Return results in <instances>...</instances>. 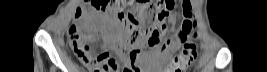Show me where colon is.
Listing matches in <instances>:
<instances>
[{
	"instance_id": "colon-1",
	"label": "colon",
	"mask_w": 267,
	"mask_h": 72,
	"mask_svg": "<svg viewBox=\"0 0 267 72\" xmlns=\"http://www.w3.org/2000/svg\"><path fill=\"white\" fill-rule=\"evenodd\" d=\"M93 8L101 13L116 17L119 25L128 36L130 53L139 52L144 46H160L164 50L171 38L166 19L170 15L174 2L172 0L135 1V0H91ZM83 9L77 8L75 18L81 19ZM196 26L192 12L182 6L181 36L184 40L192 34ZM69 41L73 44L85 67L97 72H119L121 65L108 52L93 55L85 30L82 25L74 23L68 31ZM196 46L192 40L186 41L182 52L171 64V72L186 70L196 58Z\"/></svg>"
}]
</instances>
